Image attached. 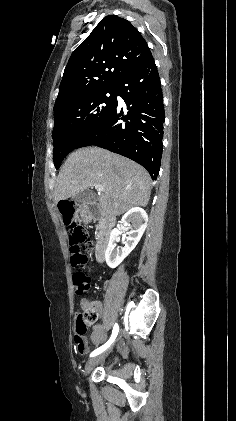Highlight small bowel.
<instances>
[{
  "label": "small bowel",
  "instance_id": "obj_1",
  "mask_svg": "<svg viewBox=\"0 0 236 421\" xmlns=\"http://www.w3.org/2000/svg\"><path fill=\"white\" fill-rule=\"evenodd\" d=\"M81 304H82V305H91V306H93V307H94L97 311H100V312H102V310H103L102 304H101L100 302H98V301H87V300H83ZM101 328H103V326H102V325H96V326L94 327V330H93V332H92V334H91V339H92V341H93L94 343H98V342H95V341H94V339H95V337H96V334H97L98 330H99V329H101Z\"/></svg>",
  "mask_w": 236,
  "mask_h": 421
}]
</instances>
